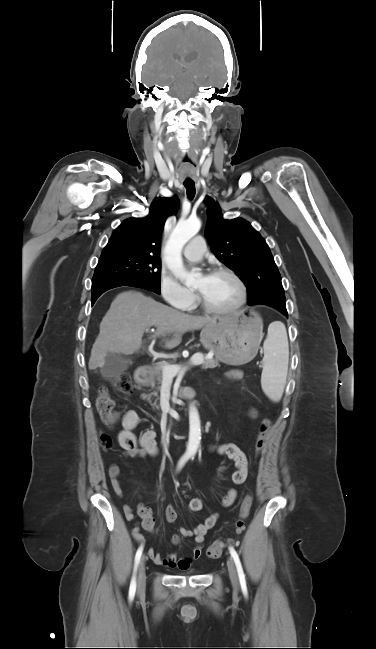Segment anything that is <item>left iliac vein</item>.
Wrapping results in <instances>:
<instances>
[{
	"label": "left iliac vein",
	"mask_w": 376,
	"mask_h": 649,
	"mask_svg": "<svg viewBox=\"0 0 376 649\" xmlns=\"http://www.w3.org/2000/svg\"><path fill=\"white\" fill-rule=\"evenodd\" d=\"M227 567H228L229 577H230V580L232 582V585L234 586V588L238 589L239 588V579H238V575H237V572H236L234 562H233V560L231 558H229L228 561H227Z\"/></svg>",
	"instance_id": "1"
}]
</instances>
